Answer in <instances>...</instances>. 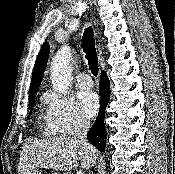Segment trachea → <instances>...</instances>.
<instances>
[{"label": "trachea", "mask_w": 175, "mask_h": 174, "mask_svg": "<svg viewBox=\"0 0 175 174\" xmlns=\"http://www.w3.org/2000/svg\"><path fill=\"white\" fill-rule=\"evenodd\" d=\"M82 47L83 51L86 54V59L88 60V64L90 70L94 76L98 75V58L94 43L93 37V29L88 27L85 29L84 36L82 39Z\"/></svg>", "instance_id": "3493384b"}]
</instances>
